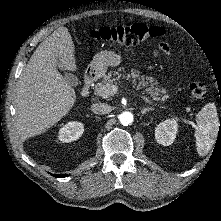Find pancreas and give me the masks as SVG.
I'll return each mask as SVG.
<instances>
[{"mask_svg":"<svg viewBox=\"0 0 221 221\" xmlns=\"http://www.w3.org/2000/svg\"><path fill=\"white\" fill-rule=\"evenodd\" d=\"M113 76L115 77L112 78L111 72L108 75H105L102 82L97 83L95 86L94 93L104 98L109 97L110 87L120 79L121 74L114 71ZM123 78L132 81L137 88H144L147 94H149L155 101L165 102L169 98V95L166 94L167 90L165 88L158 86V83L154 82V79L151 76L141 75L139 70L132 69L131 73L123 75Z\"/></svg>","mask_w":221,"mask_h":221,"instance_id":"obj_1","label":"pancreas"}]
</instances>
